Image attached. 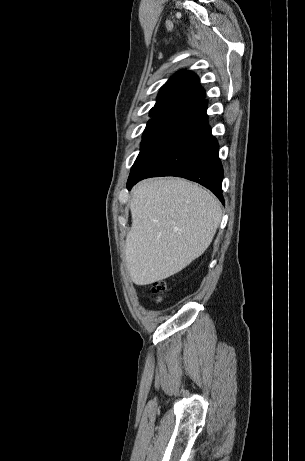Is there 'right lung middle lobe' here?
<instances>
[{"label": "right lung middle lobe", "mask_w": 305, "mask_h": 461, "mask_svg": "<svg viewBox=\"0 0 305 461\" xmlns=\"http://www.w3.org/2000/svg\"><path fill=\"white\" fill-rule=\"evenodd\" d=\"M187 110V108L177 106L158 107L150 110L152 119L147 123L140 153L133 166L143 160L167 136L177 120Z\"/></svg>", "instance_id": "obj_1"}]
</instances>
